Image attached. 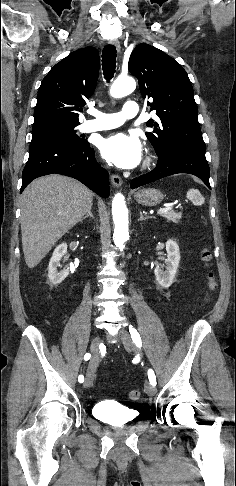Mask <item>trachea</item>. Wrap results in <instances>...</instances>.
Returning a JSON list of instances; mask_svg holds the SVG:
<instances>
[{"label":"trachea","instance_id":"1","mask_svg":"<svg viewBox=\"0 0 236 486\" xmlns=\"http://www.w3.org/2000/svg\"><path fill=\"white\" fill-rule=\"evenodd\" d=\"M102 67L104 78L109 81L113 78L116 69V47L106 45L102 51Z\"/></svg>","mask_w":236,"mask_h":486}]
</instances>
